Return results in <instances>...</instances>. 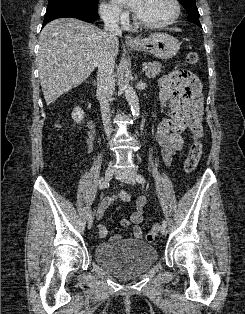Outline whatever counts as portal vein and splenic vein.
Returning <instances> with one entry per match:
<instances>
[{
    "label": "portal vein and splenic vein",
    "instance_id": "1",
    "mask_svg": "<svg viewBox=\"0 0 245 314\" xmlns=\"http://www.w3.org/2000/svg\"><path fill=\"white\" fill-rule=\"evenodd\" d=\"M90 58L89 57H86V60H89ZM147 66L145 65V66H143V68H142V71H146L147 70Z\"/></svg>",
    "mask_w": 245,
    "mask_h": 314
}]
</instances>
